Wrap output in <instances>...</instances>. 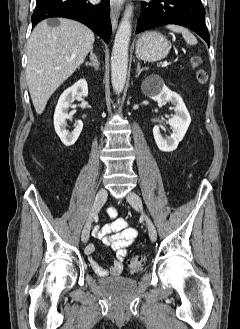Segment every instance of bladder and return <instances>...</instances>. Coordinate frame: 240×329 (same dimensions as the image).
I'll use <instances>...</instances> for the list:
<instances>
[{"label": "bladder", "mask_w": 240, "mask_h": 329, "mask_svg": "<svg viewBox=\"0 0 240 329\" xmlns=\"http://www.w3.org/2000/svg\"><path fill=\"white\" fill-rule=\"evenodd\" d=\"M100 287L114 297H124L133 291L137 284L136 280L124 276H112L99 282Z\"/></svg>", "instance_id": "1"}]
</instances>
